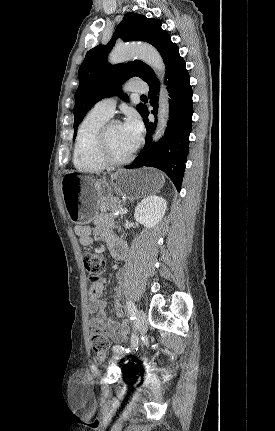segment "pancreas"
I'll return each mask as SVG.
<instances>
[{"mask_svg": "<svg viewBox=\"0 0 275 431\" xmlns=\"http://www.w3.org/2000/svg\"><path fill=\"white\" fill-rule=\"evenodd\" d=\"M99 209L101 211V213L103 214H108V212H119L120 209L122 208V204L121 201L119 199H106V198H102L99 203ZM121 216V218L123 217V214H119Z\"/></svg>", "mask_w": 275, "mask_h": 431, "instance_id": "cf45deb5", "label": "pancreas"}]
</instances>
